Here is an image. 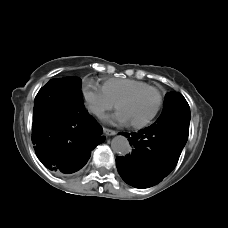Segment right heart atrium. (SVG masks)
<instances>
[{
	"label": "right heart atrium",
	"mask_w": 228,
	"mask_h": 228,
	"mask_svg": "<svg viewBox=\"0 0 228 228\" xmlns=\"http://www.w3.org/2000/svg\"><path fill=\"white\" fill-rule=\"evenodd\" d=\"M83 94L90 111L97 116L114 108V103L100 89L85 86Z\"/></svg>",
	"instance_id": "d8ad5b80"
}]
</instances>
